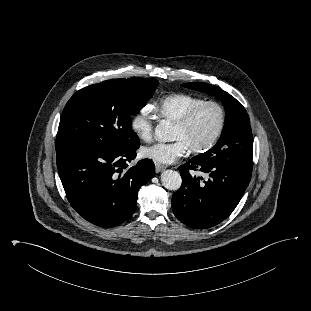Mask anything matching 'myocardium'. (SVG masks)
Returning a JSON list of instances; mask_svg holds the SVG:
<instances>
[{
	"mask_svg": "<svg viewBox=\"0 0 311 311\" xmlns=\"http://www.w3.org/2000/svg\"><path fill=\"white\" fill-rule=\"evenodd\" d=\"M208 106L214 107L218 111V114H219L218 125H217V128H216L215 132L213 133V135L206 142H204L203 144L198 145V146L190 147L191 151H193V152L199 153V152L207 151L217 143V141L221 137V135L224 131L225 125H226V111H225L224 107L217 101H213V100L203 101L202 103H200L197 106H195L194 108H192L180 120L175 122L176 126L182 128V129H186L193 123V121L198 116L200 111L202 109H204L205 107H208Z\"/></svg>",
	"mask_w": 311,
	"mask_h": 311,
	"instance_id": "f54148a6",
	"label": "myocardium"
}]
</instances>
